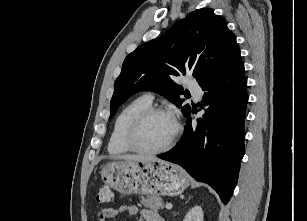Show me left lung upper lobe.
I'll use <instances>...</instances> for the list:
<instances>
[{"label":"left lung upper lobe","mask_w":307,"mask_h":221,"mask_svg":"<svg viewBox=\"0 0 307 221\" xmlns=\"http://www.w3.org/2000/svg\"><path fill=\"white\" fill-rule=\"evenodd\" d=\"M225 19L212 9H199L175 23L164 35L130 53L114 84L110 117L132 94L154 91L181 107L183 88L175 77L191 73L203 88L217 77L239 52ZM186 117L191 107L184 105Z\"/></svg>","instance_id":"left-lung-upper-lobe-1"}]
</instances>
